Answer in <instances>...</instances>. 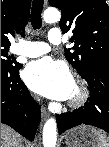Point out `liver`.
<instances>
[{
	"mask_svg": "<svg viewBox=\"0 0 109 147\" xmlns=\"http://www.w3.org/2000/svg\"><path fill=\"white\" fill-rule=\"evenodd\" d=\"M1 147H23L22 137L7 125H1Z\"/></svg>",
	"mask_w": 109,
	"mask_h": 147,
	"instance_id": "obj_1",
	"label": "liver"
}]
</instances>
